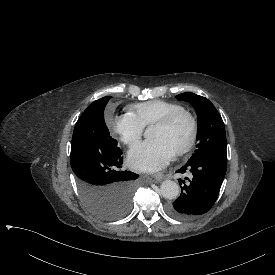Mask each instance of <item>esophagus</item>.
Listing matches in <instances>:
<instances>
[{
    "mask_svg": "<svg viewBox=\"0 0 275 275\" xmlns=\"http://www.w3.org/2000/svg\"><path fill=\"white\" fill-rule=\"evenodd\" d=\"M165 177L164 174L162 173H157L156 175H154V179L158 182H160L161 180H163V178Z\"/></svg>",
    "mask_w": 275,
    "mask_h": 275,
    "instance_id": "obj_1",
    "label": "esophagus"
}]
</instances>
